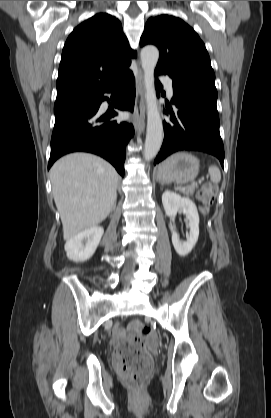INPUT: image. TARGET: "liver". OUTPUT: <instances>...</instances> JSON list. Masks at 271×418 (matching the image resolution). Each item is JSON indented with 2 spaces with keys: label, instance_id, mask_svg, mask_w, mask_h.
I'll return each mask as SVG.
<instances>
[{
  "label": "liver",
  "instance_id": "obj_1",
  "mask_svg": "<svg viewBox=\"0 0 271 418\" xmlns=\"http://www.w3.org/2000/svg\"><path fill=\"white\" fill-rule=\"evenodd\" d=\"M50 176L64 240L97 226L113 210L118 173L102 158L88 153L67 155L52 166Z\"/></svg>",
  "mask_w": 271,
  "mask_h": 418
}]
</instances>
